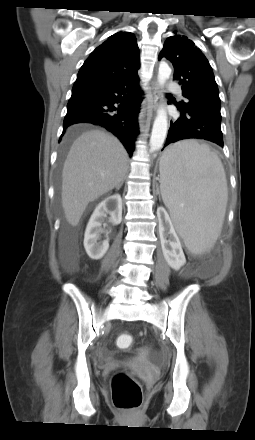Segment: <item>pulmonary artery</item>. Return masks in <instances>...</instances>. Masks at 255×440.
Returning a JSON list of instances; mask_svg holds the SVG:
<instances>
[{"mask_svg":"<svg viewBox=\"0 0 255 440\" xmlns=\"http://www.w3.org/2000/svg\"><path fill=\"white\" fill-rule=\"evenodd\" d=\"M168 90L173 93H180L181 92L180 86L177 83H173V82L169 83Z\"/></svg>","mask_w":255,"mask_h":440,"instance_id":"pulmonary-artery-1","label":"pulmonary artery"}]
</instances>
